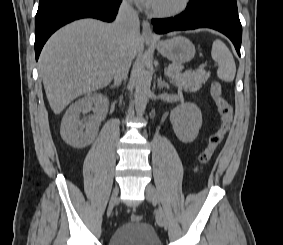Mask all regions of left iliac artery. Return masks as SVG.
<instances>
[{"instance_id":"1","label":"left iliac artery","mask_w":283,"mask_h":245,"mask_svg":"<svg viewBox=\"0 0 283 245\" xmlns=\"http://www.w3.org/2000/svg\"><path fill=\"white\" fill-rule=\"evenodd\" d=\"M161 211H162V210H158V211L156 212V220H157V223H159V219H160V216H161Z\"/></svg>"}]
</instances>
